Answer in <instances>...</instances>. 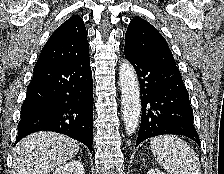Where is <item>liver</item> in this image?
Wrapping results in <instances>:
<instances>
[{"mask_svg":"<svg viewBox=\"0 0 224 174\" xmlns=\"http://www.w3.org/2000/svg\"><path fill=\"white\" fill-rule=\"evenodd\" d=\"M78 151L79 143L63 134L32 133L18 142L13 150L12 174H48Z\"/></svg>","mask_w":224,"mask_h":174,"instance_id":"6515ba94","label":"liver"}]
</instances>
